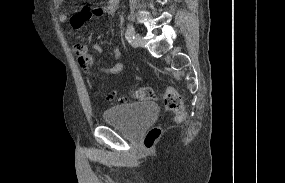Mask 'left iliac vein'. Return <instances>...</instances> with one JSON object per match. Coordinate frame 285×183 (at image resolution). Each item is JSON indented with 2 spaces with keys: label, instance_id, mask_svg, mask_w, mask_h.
<instances>
[{
  "label": "left iliac vein",
  "instance_id": "4c4485c4",
  "mask_svg": "<svg viewBox=\"0 0 285 183\" xmlns=\"http://www.w3.org/2000/svg\"><path fill=\"white\" fill-rule=\"evenodd\" d=\"M142 42V37L140 34H135L134 39L132 40V46L133 47H139V45Z\"/></svg>",
  "mask_w": 285,
  "mask_h": 183
}]
</instances>
